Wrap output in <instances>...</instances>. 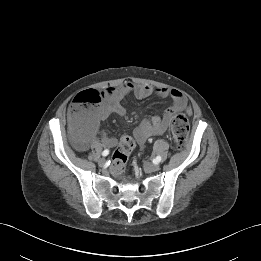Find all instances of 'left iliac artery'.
I'll list each match as a JSON object with an SVG mask.
<instances>
[{
    "label": "left iliac artery",
    "instance_id": "obj_1",
    "mask_svg": "<svg viewBox=\"0 0 261 261\" xmlns=\"http://www.w3.org/2000/svg\"><path fill=\"white\" fill-rule=\"evenodd\" d=\"M155 161H156V163H159L161 161V156H157Z\"/></svg>",
    "mask_w": 261,
    "mask_h": 261
}]
</instances>
